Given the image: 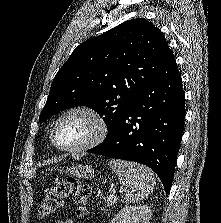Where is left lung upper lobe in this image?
I'll return each mask as SVG.
<instances>
[{"label":"left lung upper lobe","instance_id":"5c2ea615","mask_svg":"<svg viewBox=\"0 0 221 223\" xmlns=\"http://www.w3.org/2000/svg\"><path fill=\"white\" fill-rule=\"evenodd\" d=\"M169 52L162 32L144 18L126 21L81 43L56 74L39 121L75 106L103 117L108 138Z\"/></svg>","mask_w":221,"mask_h":223}]
</instances>
